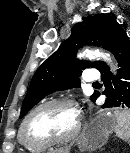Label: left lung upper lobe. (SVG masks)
I'll return each mask as SVG.
<instances>
[{"label":"left lung upper lobe","mask_w":130,"mask_h":153,"mask_svg":"<svg viewBox=\"0 0 130 153\" xmlns=\"http://www.w3.org/2000/svg\"><path fill=\"white\" fill-rule=\"evenodd\" d=\"M123 30L116 19L107 14L83 17L82 23L73 26L71 36L62 42L58 50L45 60L34 74L22 104L20 118L45 96L55 91L80 87L78 77L82 70L88 67L99 70L104 62L78 60L77 50L86 42L88 45L107 49L110 41ZM98 96L99 93L94 92L91 100L95 101Z\"/></svg>","instance_id":"left-lung-upper-lobe-1"}]
</instances>
